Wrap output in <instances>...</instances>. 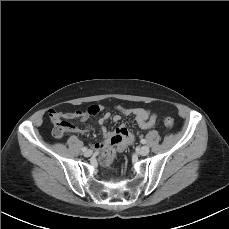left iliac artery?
I'll use <instances>...</instances> for the list:
<instances>
[{
    "label": "left iliac artery",
    "instance_id": "obj_1",
    "mask_svg": "<svg viewBox=\"0 0 229 229\" xmlns=\"http://www.w3.org/2000/svg\"><path fill=\"white\" fill-rule=\"evenodd\" d=\"M142 144H145L146 143V140L145 139H141L140 141Z\"/></svg>",
    "mask_w": 229,
    "mask_h": 229
}]
</instances>
